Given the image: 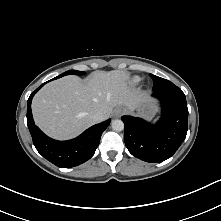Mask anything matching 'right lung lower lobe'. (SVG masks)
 Returning a JSON list of instances; mask_svg holds the SVG:
<instances>
[{
  "mask_svg": "<svg viewBox=\"0 0 221 221\" xmlns=\"http://www.w3.org/2000/svg\"><path fill=\"white\" fill-rule=\"evenodd\" d=\"M45 84V83H44ZM39 86L27 102V125L37 151L48 161L58 167H75L89 160L99 145L103 131L110 124V119L94 125L80 136L68 141H56L46 136L32 118L31 101L34 94L44 85Z\"/></svg>",
  "mask_w": 221,
  "mask_h": 221,
  "instance_id": "1",
  "label": "right lung lower lobe"
}]
</instances>
